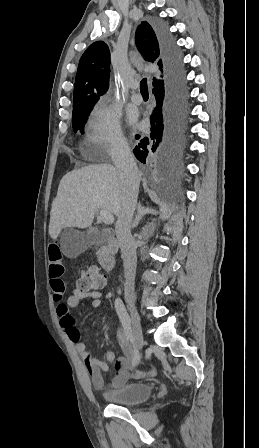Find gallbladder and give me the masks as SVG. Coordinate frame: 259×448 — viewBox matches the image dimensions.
I'll use <instances>...</instances> for the list:
<instances>
[{"instance_id": "gallbladder-1", "label": "gallbladder", "mask_w": 259, "mask_h": 448, "mask_svg": "<svg viewBox=\"0 0 259 448\" xmlns=\"http://www.w3.org/2000/svg\"><path fill=\"white\" fill-rule=\"evenodd\" d=\"M112 236L108 230H98V228H89L87 232H78V230H64L61 236V248L64 256L67 258H77L79 254L92 248V246H101L107 244Z\"/></svg>"}]
</instances>
